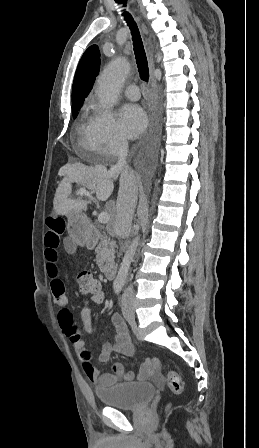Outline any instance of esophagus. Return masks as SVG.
Instances as JSON below:
<instances>
[{
  "mask_svg": "<svg viewBox=\"0 0 259 448\" xmlns=\"http://www.w3.org/2000/svg\"><path fill=\"white\" fill-rule=\"evenodd\" d=\"M149 65H150V71H151V86H152V89L155 90L156 86H157V82H156V79L154 76V71H155L154 60H153V57L151 54L149 57Z\"/></svg>",
  "mask_w": 259,
  "mask_h": 448,
  "instance_id": "obj_1",
  "label": "esophagus"
}]
</instances>
